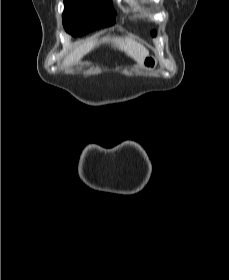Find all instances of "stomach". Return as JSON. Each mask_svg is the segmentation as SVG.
I'll return each mask as SVG.
<instances>
[{
	"instance_id": "stomach-1",
	"label": "stomach",
	"mask_w": 229,
	"mask_h": 280,
	"mask_svg": "<svg viewBox=\"0 0 229 280\" xmlns=\"http://www.w3.org/2000/svg\"><path fill=\"white\" fill-rule=\"evenodd\" d=\"M142 66L147 70H154L157 67V59L152 56H147L144 59Z\"/></svg>"
}]
</instances>
